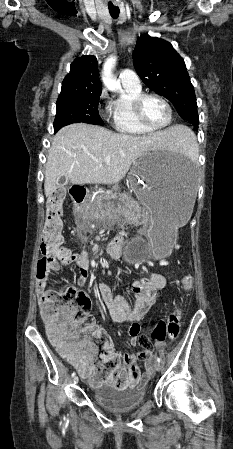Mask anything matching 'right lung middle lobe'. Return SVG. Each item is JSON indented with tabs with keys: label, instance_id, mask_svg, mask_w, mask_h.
I'll use <instances>...</instances> for the list:
<instances>
[{
	"label": "right lung middle lobe",
	"instance_id": "1",
	"mask_svg": "<svg viewBox=\"0 0 233 449\" xmlns=\"http://www.w3.org/2000/svg\"><path fill=\"white\" fill-rule=\"evenodd\" d=\"M100 95L101 93H87L59 96L54 130L57 131L63 126L77 122L103 125L97 109Z\"/></svg>",
	"mask_w": 233,
	"mask_h": 449
}]
</instances>
